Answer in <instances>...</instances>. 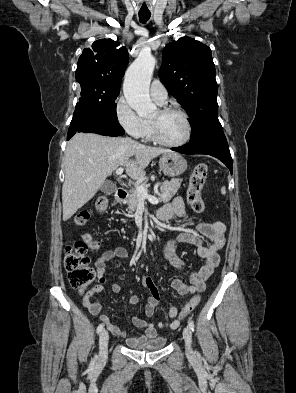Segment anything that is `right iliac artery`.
I'll return each mask as SVG.
<instances>
[{"instance_id":"right-iliac-artery-1","label":"right iliac artery","mask_w":296,"mask_h":393,"mask_svg":"<svg viewBox=\"0 0 296 393\" xmlns=\"http://www.w3.org/2000/svg\"><path fill=\"white\" fill-rule=\"evenodd\" d=\"M103 328H104V325H103L102 323L99 324L98 327H97V333H98V334L101 333L102 330H103ZM94 363H95V358H94L93 361H92V364H94Z\"/></svg>"}]
</instances>
